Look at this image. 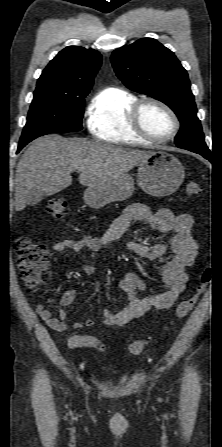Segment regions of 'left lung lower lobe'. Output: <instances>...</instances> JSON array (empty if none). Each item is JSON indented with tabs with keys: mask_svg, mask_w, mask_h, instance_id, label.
Here are the masks:
<instances>
[{
	"mask_svg": "<svg viewBox=\"0 0 222 447\" xmlns=\"http://www.w3.org/2000/svg\"><path fill=\"white\" fill-rule=\"evenodd\" d=\"M189 151L198 153V154L204 156L205 158L210 159V152H209V153H205L204 151H195V150H189ZM209 151H210V150H209Z\"/></svg>",
	"mask_w": 222,
	"mask_h": 447,
	"instance_id": "0a47b994",
	"label": "left lung lower lobe"
}]
</instances>
